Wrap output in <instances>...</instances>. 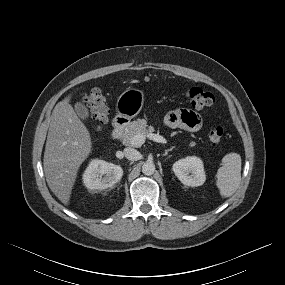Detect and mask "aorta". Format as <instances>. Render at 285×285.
<instances>
[{
	"mask_svg": "<svg viewBox=\"0 0 285 285\" xmlns=\"http://www.w3.org/2000/svg\"><path fill=\"white\" fill-rule=\"evenodd\" d=\"M155 172V164L152 161H146L142 165V173L144 175L150 176Z\"/></svg>",
	"mask_w": 285,
	"mask_h": 285,
	"instance_id": "obj_1",
	"label": "aorta"
}]
</instances>
